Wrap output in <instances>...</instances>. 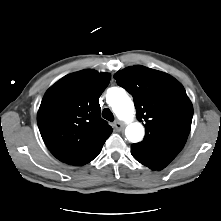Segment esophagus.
<instances>
[{
  "mask_svg": "<svg viewBox=\"0 0 221 221\" xmlns=\"http://www.w3.org/2000/svg\"><path fill=\"white\" fill-rule=\"evenodd\" d=\"M113 125H114L116 130H121L123 128V124L119 120H116Z\"/></svg>",
  "mask_w": 221,
  "mask_h": 221,
  "instance_id": "obj_1",
  "label": "esophagus"
}]
</instances>
